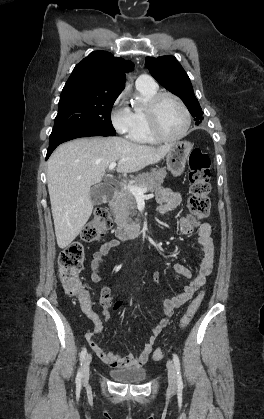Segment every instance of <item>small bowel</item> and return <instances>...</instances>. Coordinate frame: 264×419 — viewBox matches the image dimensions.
Listing matches in <instances>:
<instances>
[{
  "instance_id": "small-bowel-1",
  "label": "small bowel",
  "mask_w": 264,
  "mask_h": 419,
  "mask_svg": "<svg viewBox=\"0 0 264 419\" xmlns=\"http://www.w3.org/2000/svg\"><path fill=\"white\" fill-rule=\"evenodd\" d=\"M156 199L159 203L157 213L159 216H163L181 203L182 196L179 192L170 188H161L157 192ZM177 226L185 235L191 234L194 230L190 220L186 217L179 218ZM198 235L201 260L198 265L197 273L193 275L190 269L182 264H175L173 266L174 273L188 279L189 281L187 285L184 286L183 291L177 296L160 299V305L164 313V317L160 319L159 322L152 328L147 342L143 345L142 350L138 355H133L131 353L116 354L104 350L95 340V337L103 330V321L98 314L91 309L90 304L81 302L82 310L94 324L93 330L85 334V339L100 360L115 368L141 367L147 362L157 337L169 324L174 310L185 304L193 297L194 293L205 284L206 277L214 268L215 246L211 238L210 224L207 222L202 223L198 228ZM119 244L120 241L113 238L104 242L95 252L90 264V277L93 282H99L101 280L100 269L103 259L113 249L118 247ZM152 279L156 284H160V276L158 273H153ZM99 301L104 309L103 316L107 320L110 317L108 309L111 307L112 303V293L110 288L106 286L101 288ZM121 306L122 302H117L114 304L113 310H118Z\"/></svg>"
}]
</instances>
